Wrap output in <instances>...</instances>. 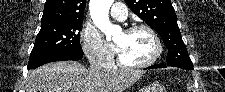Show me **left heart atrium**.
Masks as SVG:
<instances>
[{
    "label": "left heart atrium",
    "mask_w": 225,
    "mask_h": 92,
    "mask_svg": "<svg viewBox=\"0 0 225 92\" xmlns=\"http://www.w3.org/2000/svg\"><path fill=\"white\" fill-rule=\"evenodd\" d=\"M115 49H116V51H117V52H119V47H118V46H116V48H115Z\"/></svg>",
    "instance_id": "left-heart-atrium-1"
}]
</instances>
